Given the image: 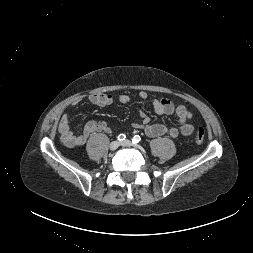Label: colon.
<instances>
[{
	"label": "colon",
	"instance_id": "colon-1",
	"mask_svg": "<svg viewBox=\"0 0 253 253\" xmlns=\"http://www.w3.org/2000/svg\"><path fill=\"white\" fill-rule=\"evenodd\" d=\"M205 138V130L204 128H199L196 135H195V141L197 143H202Z\"/></svg>",
	"mask_w": 253,
	"mask_h": 253
}]
</instances>
